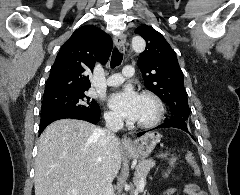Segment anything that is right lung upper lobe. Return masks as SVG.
I'll return each instance as SVG.
<instances>
[{
	"label": "right lung upper lobe",
	"instance_id": "1",
	"mask_svg": "<svg viewBox=\"0 0 240 195\" xmlns=\"http://www.w3.org/2000/svg\"><path fill=\"white\" fill-rule=\"evenodd\" d=\"M112 40L104 31L86 25L74 31L60 48L44 95L72 89H88L89 76L96 61L105 64L110 56Z\"/></svg>",
	"mask_w": 240,
	"mask_h": 195
}]
</instances>
